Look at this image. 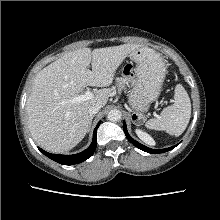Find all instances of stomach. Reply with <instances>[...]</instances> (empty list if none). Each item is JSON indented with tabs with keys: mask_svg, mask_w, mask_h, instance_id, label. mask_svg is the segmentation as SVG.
Listing matches in <instances>:
<instances>
[{
	"mask_svg": "<svg viewBox=\"0 0 220 220\" xmlns=\"http://www.w3.org/2000/svg\"><path fill=\"white\" fill-rule=\"evenodd\" d=\"M130 57L136 63V80L129 94L128 102L138 119L159 97L166 66L161 56L148 47H139L130 53Z\"/></svg>",
	"mask_w": 220,
	"mask_h": 220,
	"instance_id": "1",
	"label": "stomach"
}]
</instances>
